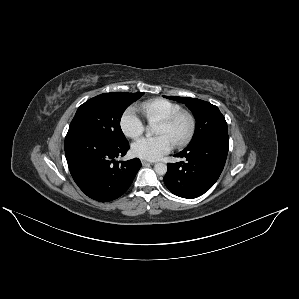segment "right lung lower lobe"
<instances>
[{
    "instance_id": "1",
    "label": "right lung lower lobe",
    "mask_w": 299,
    "mask_h": 299,
    "mask_svg": "<svg viewBox=\"0 0 299 299\" xmlns=\"http://www.w3.org/2000/svg\"><path fill=\"white\" fill-rule=\"evenodd\" d=\"M128 149V142L116 144L96 134L65 138V155L74 181L88 197L100 202L112 201L124 194L140 169L138 158L116 161Z\"/></svg>"
}]
</instances>
